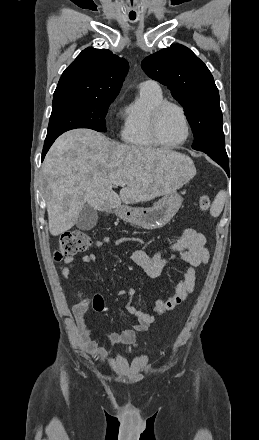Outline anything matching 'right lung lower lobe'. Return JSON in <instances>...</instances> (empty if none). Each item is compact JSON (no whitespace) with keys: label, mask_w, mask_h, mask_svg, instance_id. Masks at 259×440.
<instances>
[{"label":"right lung lower lobe","mask_w":259,"mask_h":440,"mask_svg":"<svg viewBox=\"0 0 259 440\" xmlns=\"http://www.w3.org/2000/svg\"><path fill=\"white\" fill-rule=\"evenodd\" d=\"M58 136L53 137L51 139H45V143H44V147H43V151H42V161L47 153V151L49 150V148L51 147V145L53 144V142L56 140Z\"/></svg>","instance_id":"1"}]
</instances>
